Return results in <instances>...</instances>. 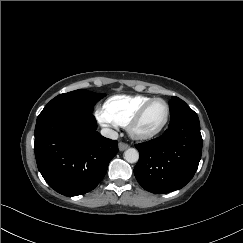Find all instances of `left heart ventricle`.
I'll list each match as a JSON object with an SVG mask.
<instances>
[{
    "mask_svg": "<svg viewBox=\"0 0 243 243\" xmlns=\"http://www.w3.org/2000/svg\"><path fill=\"white\" fill-rule=\"evenodd\" d=\"M166 112L167 109L163 102H155L147 109L137 129L141 132H150L157 129L163 123Z\"/></svg>",
    "mask_w": 243,
    "mask_h": 243,
    "instance_id": "obj_1",
    "label": "left heart ventricle"
}]
</instances>
